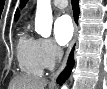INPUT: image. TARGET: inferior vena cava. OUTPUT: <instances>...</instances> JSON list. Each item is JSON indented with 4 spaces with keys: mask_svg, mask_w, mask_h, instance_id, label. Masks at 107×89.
Wrapping results in <instances>:
<instances>
[{
    "mask_svg": "<svg viewBox=\"0 0 107 89\" xmlns=\"http://www.w3.org/2000/svg\"><path fill=\"white\" fill-rule=\"evenodd\" d=\"M62 56H63V50H62L61 47H58V46H57V47H56V57H57L58 62L61 61Z\"/></svg>",
    "mask_w": 107,
    "mask_h": 89,
    "instance_id": "1",
    "label": "inferior vena cava"
}]
</instances>
